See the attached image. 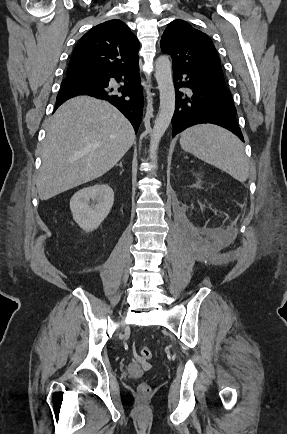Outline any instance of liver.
Masks as SVG:
<instances>
[{
    "mask_svg": "<svg viewBox=\"0 0 287 434\" xmlns=\"http://www.w3.org/2000/svg\"><path fill=\"white\" fill-rule=\"evenodd\" d=\"M36 187L42 201L101 177L135 142L130 122L110 103L77 96L50 118Z\"/></svg>",
    "mask_w": 287,
    "mask_h": 434,
    "instance_id": "1",
    "label": "liver"
}]
</instances>
